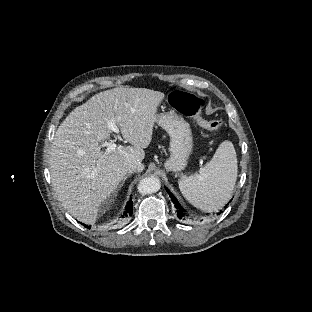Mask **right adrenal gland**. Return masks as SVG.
Returning <instances> with one entry per match:
<instances>
[{
  "mask_svg": "<svg viewBox=\"0 0 312 312\" xmlns=\"http://www.w3.org/2000/svg\"><path fill=\"white\" fill-rule=\"evenodd\" d=\"M128 177H129V175H127V176L125 177V179L119 184L118 190H120V189L123 187V185L125 184V180H126Z\"/></svg>",
  "mask_w": 312,
  "mask_h": 312,
  "instance_id": "obj_1",
  "label": "right adrenal gland"
}]
</instances>
